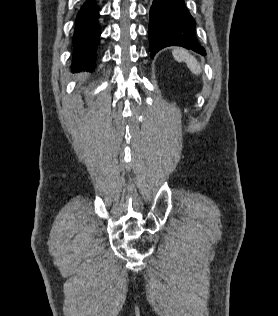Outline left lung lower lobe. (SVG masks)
I'll list each match as a JSON object with an SVG mask.
<instances>
[{
    "mask_svg": "<svg viewBox=\"0 0 278 316\" xmlns=\"http://www.w3.org/2000/svg\"><path fill=\"white\" fill-rule=\"evenodd\" d=\"M148 35L152 57L172 45L206 54L195 37V20L184 0H153Z\"/></svg>",
    "mask_w": 278,
    "mask_h": 316,
    "instance_id": "1",
    "label": "left lung lower lobe"
}]
</instances>
